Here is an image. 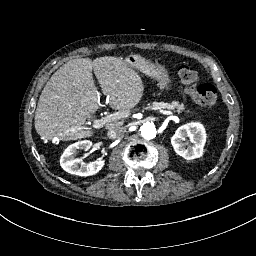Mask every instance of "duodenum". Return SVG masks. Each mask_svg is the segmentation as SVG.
I'll list each match as a JSON object with an SVG mask.
<instances>
[{
    "mask_svg": "<svg viewBox=\"0 0 256 256\" xmlns=\"http://www.w3.org/2000/svg\"><path fill=\"white\" fill-rule=\"evenodd\" d=\"M140 63H141V60L136 55H131V56L127 57L124 61L125 66L129 69L138 67L140 65ZM142 71L145 75L150 76L154 73L155 67L152 63L147 62L143 65Z\"/></svg>",
    "mask_w": 256,
    "mask_h": 256,
    "instance_id": "obj_1",
    "label": "duodenum"
}]
</instances>
